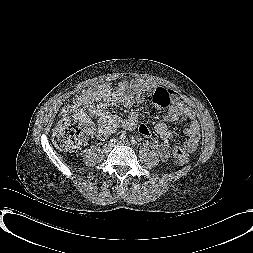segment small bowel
Here are the masks:
<instances>
[{
  "label": "small bowel",
  "instance_id": "small-bowel-1",
  "mask_svg": "<svg viewBox=\"0 0 253 253\" xmlns=\"http://www.w3.org/2000/svg\"><path fill=\"white\" fill-rule=\"evenodd\" d=\"M121 88L126 91L125 95L115 93L108 85L85 89L74 98L69 108L82 113L88 127L93 129L99 138H107L118 128L126 130L137 128L142 136L149 137L151 135L149 127L145 124L137 125V113L133 109L134 92H144L151 95L150 100L154 107L159 109L169 107L167 113L154 126V131L158 134L160 141L154 142L153 148L159 157L167 160L171 149L176 145L171 143L173 133L167 123H187L188 126L184 131L185 140L181 147L187 152L196 149L200 137L199 123L193 110L183 98L154 83L141 80L122 82ZM118 103L130 110L126 117H121L113 112L114 106Z\"/></svg>",
  "mask_w": 253,
  "mask_h": 253
}]
</instances>
